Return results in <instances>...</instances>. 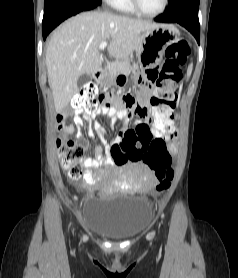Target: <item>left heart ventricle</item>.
<instances>
[{"label":"left heart ventricle","instance_id":"b2bd125f","mask_svg":"<svg viewBox=\"0 0 238 278\" xmlns=\"http://www.w3.org/2000/svg\"><path fill=\"white\" fill-rule=\"evenodd\" d=\"M141 8L148 13L158 12L163 5V0H138Z\"/></svg>","mask_w":238,"mask_h":278}]
</instances>
